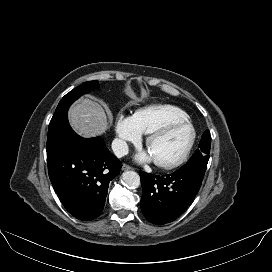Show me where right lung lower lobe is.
Returning <instances> with one entry per match:
<instances>
[{"instance_id": "98d812e1", "label": "right lung lower lobe", "mask_w": 272, "mask_h": 272, "mask_svg": "<svg viewBox=\"0 0 272 272\" xmlns=\"http://www.w3.org/2000/svg\"><path fill=\"white\" fill-rule=\"evenodd\" d=\"M47 163L60 201L70 214L85 221L100 215L109 182L122 167L101 138H82L71 127L47 149Z\"/></svg>"}]
</instances>
